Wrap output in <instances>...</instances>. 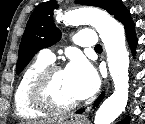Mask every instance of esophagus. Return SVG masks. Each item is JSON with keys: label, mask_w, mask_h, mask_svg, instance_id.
Returning <instances> with one entry per match:
<instances>
[{"label": "esophagus", "mask_w": 145, "mask_h": 124, "mask_svg": "<svg viewBox=\"0 0 145 124\" xmlns=\"http://www.w3.org/2000/svg\"><path fill=\"white\" fill-rule=\"evenodd\" d=\"M79 120H80L81 122H83V121H85V118H80Z\"/></svg>", "instance_id": "esophagus-1"}]
</instances>
